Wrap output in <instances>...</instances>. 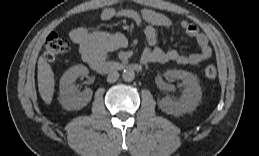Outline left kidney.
Segmentation results:
<instances>
[{
	"label": "left kidney",
	"instance_id": "1",
	"mask_svg": "<svg viewBox=\"0 0 259 156\" xmlns=\"http://www.w3.org/2000/svg\"><path fill=\"white\" fill-rule=\"evenodd\" d=\"M165 77L182 80L185 90L179 101H173L169 97H164L159 101L160 109L171 115H181L193 110L201 100L202 90L198 83V78L190 72L184 70H168Z\"/></svg>",
	"mask_w": 259,
	"mask_h": 156
}]
</instances>
